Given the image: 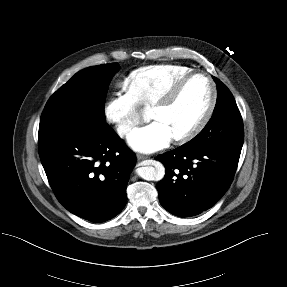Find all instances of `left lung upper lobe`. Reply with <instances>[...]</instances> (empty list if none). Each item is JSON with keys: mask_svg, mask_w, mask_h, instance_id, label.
<instances>
[{"mask_svg": "<svg viewBox=\"0 0 287 287\" xmlns=\"http://www.w3.org/2000/svg\"><path fill=\"white\" fill-rule=\"evenodd\" d=\"M218 96L213 115L204 129L188 143L224 146L241 150L244 142L243 121L229 89L217 78Z\"/></svg>", "mask_w": 287, "mask_h": 287, "instance_id": "left-lung-upper-lobe-1", "label": "left lung upper lobe"}]
</instances>
